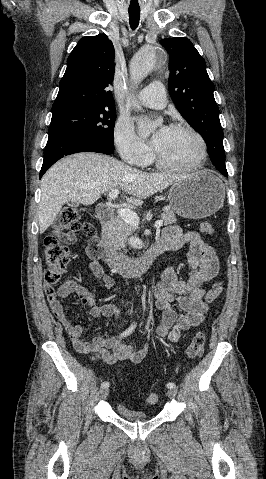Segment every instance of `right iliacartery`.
I'll return each mask as SVG.
<instances>
[{"label": "right iliac artery", "mask_w": 266, "mask_h": 479, "mask_svg": "<svg viewBox=\"0 0 266 479\" xmlns=\"http://www.w3.org/2000/svg\"><path fill=\"white\" fill-rule=\"evenodd\" d=\"M135 327H136V323H133L128 329H126V331H124V332L120 335V337H126V336H128L129 334H131V333L134 331ZM101 386H102V387H109V382L105 381V382H103V383L101 384Z\"/></svg>", "instance_id": "obj_1"}]
</instances>
